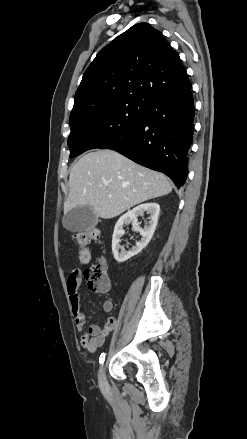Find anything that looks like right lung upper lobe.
Returning <instances> with one entry per match:
<instances>
[{"label":"right lung upper lobe","instance_id":"1","mask_svg":"<svg viewBox=\"0 0 247 439\" xmlns=\"http://www.w3.org/2000/svg\"><path fill=\"white\" fill-rule=\"evenodd\" d=\"M191 86L179 55L162 33L139 23L97 54L76 91L70 116L114 101L149 105Z\"/></svg>","mask_w":247,"mask_h":439}]
</instances>
